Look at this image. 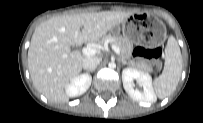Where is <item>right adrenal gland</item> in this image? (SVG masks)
Masks as SVG:
<instances>
[{
    "instance_id": "1",
    "label": "right adrenal gland",
    "mask_w": 203,
    "mask_h": 123,
    "mask_svg": "<svg viewBox=\"0 0 203 123\" xmlns=\"http://www.w3.org/2000/svg\"><path fill=\"white\" fill-rule=\"evenodd\" d=\"M88 72H93V70H88Z\"/></svg>"
}]
</instances>
